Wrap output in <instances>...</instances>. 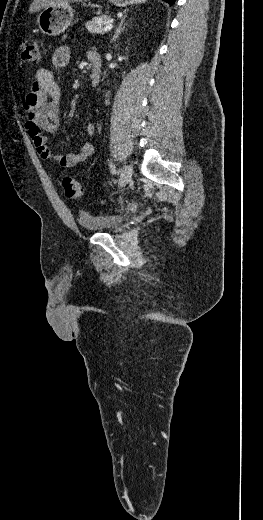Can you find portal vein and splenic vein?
<instances>
[{"label":"portal vein and splenic vein","instance_id":"18ae733b","mask_svg":"<svg viewBox=\"0 0 263 520\" xmlns=\"http://www.w3.org/2000/svg\"><path fill=\"white\" fill-rule=\"evenodd\" d=\"M113 28V24L112 23H108L105 27H104V31H109Z\"/></svg>","mask_w":263,"mask_h":520}]
</instances>
